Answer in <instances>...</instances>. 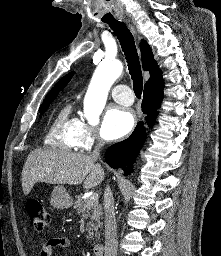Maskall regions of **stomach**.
Segmentation results:
<instances>
[{
	"label": "stomach",
	"instance_id": "0dacf381",
	"mask_svg": "<svg viewBox=\"0 0 221 256\" xmlns=\"http://www.w3.org/2000/svg\"><path fill=\"white\" fill-rule=\"evenodd\" d=\"M73 204V199L63 186L57 185L51 193V205L56 209L69 208Z\"/></svg>",
	"mask_w": 221,
	"mask_h": 256
}]
</instances>
